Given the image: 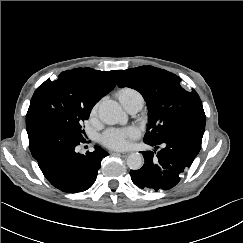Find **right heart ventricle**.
Returning <instances> with one entry per match:
<instances>
[{
  "label": "right heart ventricle",
  "instance_id": "e07e8e85",
  "mask_svg": "<svg viewBox=\"0 0 243 243\" xmlns=\"http://www.w3.org/2000/svg\"><path fill=\"white\" fill-rule=\"evenodd\" d=\"M116 96L125 108L132 102H140L143 105L142 95L133 88L123 87L117 91Z\"/></svg>",
  "mask_w": 243,
  "mask_h": 243
}]
</instances>
